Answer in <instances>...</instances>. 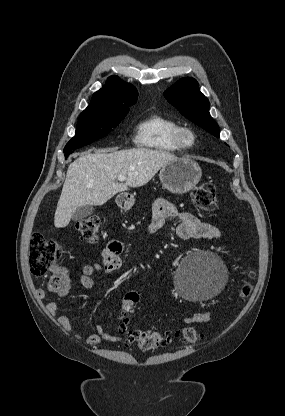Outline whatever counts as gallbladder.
I'll return each mask as SVG.
<instances>
[{
    "label": "gallbladder",
    "mask_w": 285,
    "mask_h": 416,
    "mask_svg": "<svg viewBox=\"0 0 285 416\" xmlns=\"http://www.w3.org/2000/svg\"><path fill=\"white\" fill-rule=\"evenodd\" d=\"M94 208L93 206H82V208H77L76 212H74L72 216V220L74 222H82L83 218H88V216H91L93 214Z\"/></svg>",
    "instance_id": "bac80fb5"
}]
</instances>
